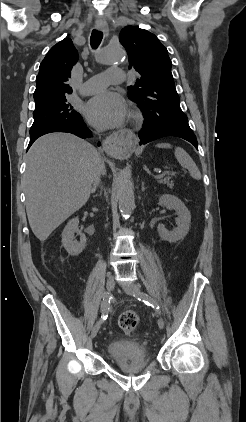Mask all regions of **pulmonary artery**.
<instances>
[{
	"label": "pulmonary artery",
	"instance_id": "1",
	"mask_svg": "<svg viewBox=\"0 0 246 422\" xmlns=\"http://www.w3.org/2000/svg\"><path fill=\"white\" fill-rule=\"evenodd\" d=\"M125 73L120 68H110L107 71L94 75L82 86L81 94L91 95L105 89L110 83H121Z\"/></svg>",
	"mask_w": 246,
	"mask_h": 422
}]
</instances>
